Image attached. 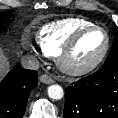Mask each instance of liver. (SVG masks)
Returning <instances> with one entry per match:
<instances>
[{
	"instance_id": "obj_1",
	"label": "liver",
	"mask_w": 118,
	"mask_h": 118,
	"mask_svg": "<svg viewBox=\"0 0 118 118\" xmlns=\"http://www.w3.org/2000/svg\"><path fill=\"white\" fill-rule=\"evenodd\" d=\"M10 69L8 58L4 55L2 49H0V81L7 74Z\"/></svg>"
}]
</instances>
